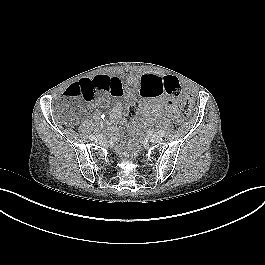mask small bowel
Returning a JSON list of instances; mask_svg holds the SVG:
<instances>
[{"label":"small bowel","instance_id":"small-bowel-1","mask_svg":"<svg viewBox=\"0 0 265 265\" xmlns=\"http://www.w3.org/2000/svg\"><path fill=\"white\" fill-rule=\"evenodd\" d=\"M163 78L164 75L161 73L147 72L138 77L99 74L90 79L87 78V80H106L109 90L108 93L116 98L119 96L123 98L127 97L130 103H134L138 97H143L140 110L144 114H148L152 111L175 110V105L166 99L163 93L154 96L155 93L160 92ZM109 116L110 120L105 123L99 122L100 116H95V119L98 121L96 125L98 129L104 126L111 128L121 118L122 104L119 100L115 101Z\"/></svg>","mask_w":265,"mask_h":265}]
</instances>
